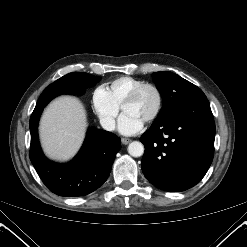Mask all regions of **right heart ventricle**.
I'll list each match as a JSON object with an SVG mask.
<instances>
[{
    "label": "right heart ventricle",
    "mask_w": 247,
    "mask_h": 247,
    "mask_svg": "<svg viewBox=\"0 0 247 247\" xmlns=\"http://www.w3.org/2000/svg\"><path fill=\"white\" fill-rule=\"evenodd\" d=\"M144 81L131 77L122 76L114 79L108 84V91L110 92L114 101L121 106L127 96L139 85L143 84Z\"/></svg>",
    "instance_id": "1"
}]
</instances>
